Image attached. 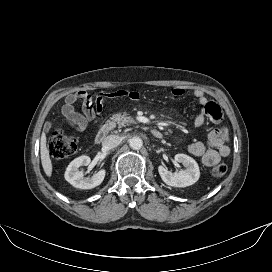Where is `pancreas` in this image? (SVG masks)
<instances>
[{
  "label": "pancreas",
  "mask_w": 272,
  "mask_h": 272,
  "mask_svg": "<svg viewBox=\"0 0 272 272\" xmlns=\"http://www.w3.org/2000/svg\"><path fill=\"white\" fill-rule=\"evenodd\" d=\"M110 119L113 123H116L120 128L127 126L131 123H135V120L131 116H127L126 114L122 113L114 114Z\"/></svg>",
  "instance_id": "1"
}]
</instances>
